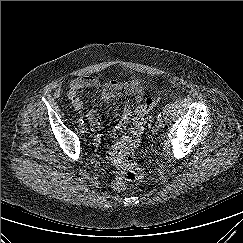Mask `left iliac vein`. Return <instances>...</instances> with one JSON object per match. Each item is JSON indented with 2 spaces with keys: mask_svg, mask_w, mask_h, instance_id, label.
Segmentation results:
<instances>
[{
  "mask_svg": "<svg viewBox=\"0 0 243 243\" xmlns=\"http://www.w3.org/2000/svg\"><path fill=\"white\" fill-rule=\"evenodd\" d=\"M155 127H156V129H160L162 127V120L161 119H157V121L155 123Z\"/></svg>",
  "mask_w": 243,
  "mask_h": 243,
  "instance_id": "1",
  "label": "left iliac vein"
}]
</instances>
